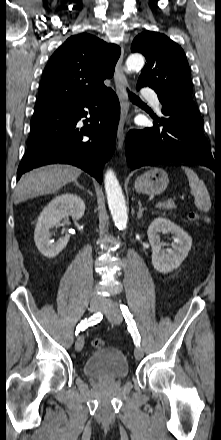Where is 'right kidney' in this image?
Masks as SVG:
<instances>
[{"label": "right kidney", "instance_id": "obj_1", "mask_svg": "<svg viewBox=\"0 0 221 440\" xmlns=\"http://www.w3.org/2000/svg\"><path fill=\"white\" fill-rule=\"evenodd\" d=\"M84 211L85 203L78 195L65 193L53 198L38 217L34 231L35 244L40 253L47 258L57 256L67 246L69 235L54 242L50 239V229L68 216L74 220L82 218Z\"/></svg>", "mask_w": 221, "mask_h": 440}]
</instances>
